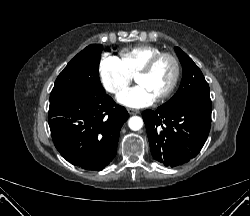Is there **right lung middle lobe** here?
<instances>
[{
    "instance_id": "obj_1",
    "label": "right lung middle lobe",
    "mask_w": 250,
    "mask_h": 216,
    "mask_svg": "<svg viewBox=\"0 0 250 216\" xmlns=\"http://www.w3.org/2000/svg\"><path fill=\"white\" fill-rule=\"evenodd\" d=\"M102 49V45H90L67 64L55 81L50 105L74 93L105 94L98 74Z\"/></svg>"
}]
</instances>
